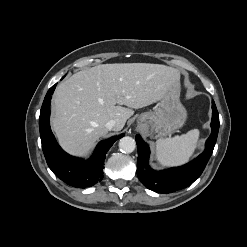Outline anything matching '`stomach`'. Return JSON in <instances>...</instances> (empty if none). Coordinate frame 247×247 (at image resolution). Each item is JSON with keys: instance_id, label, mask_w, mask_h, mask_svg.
I'll list each match as a JSON object with an SVG mask.
<instances>
[{"instance_id": "stomach-1", "label": "stomach", "mask_w": 247, "mask_h": 247, "mask_svg": "<svg viewBox=\"0 0 247 247\" xmlns=\"http://www.w3.org/2000/svg\"><path fill=\"white\" fill-rule=\"evenodd\" d=\"M186 119L187 112L180 102V84H178L172 85L152 110L142 113L137 123L146 128L150 136L162 138L181 128Z\"/></svg>"}]
</instances>
